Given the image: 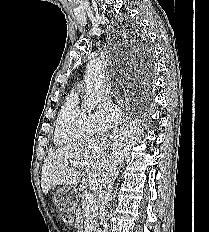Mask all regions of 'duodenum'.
<instances>
[{
  "instance_id": "1",
  "label": "duodenum",
  "mask_w": 209,
  "mask_h": 232,
  "mask_svg": "<svg viewBox=\"0 0 209 232\" xmlns=\"http://www.w3.org/2000/svg\"><path fill=\"white\" fill-rule=\"evenodd\" d=\"M89 232H94V231H93V229L91 228V229H89Z\"/></svg>"
}]
</instances>
